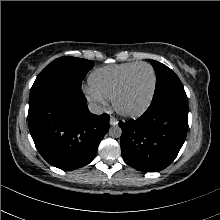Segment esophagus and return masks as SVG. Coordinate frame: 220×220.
Wrapping results in <instances>:
<instances>
[{"instance_id": "esophagus-1", "label": "esophagus", "mask_w": 220, "mask_h": 220, "mask_svg": "<svg viewBox=\"0 0 220 220\" xmlns=\"http://www.w3.org/2000/svg\"><path fill=\"white\" fill-rule=\"evenodd\" d=\"M110 124H111L112 126H115V125L118 124V120H117L116 118H114V117H111V118H110Z\"/></svg>"}]
</instances>
